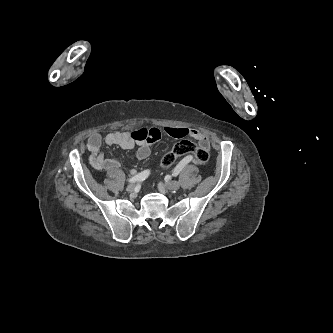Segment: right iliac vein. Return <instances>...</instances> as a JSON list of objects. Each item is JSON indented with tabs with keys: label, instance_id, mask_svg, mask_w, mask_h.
<instances>
[{
	"label": "right iliac vein",
	"instance_id": "right-iliac-vein-1",
	"mask_svg": "<svg viewBox=\"0 0 333 333\" xmlns=\"http://www.w3.org/2000/svg\"><path fill=\"white\" fill-rule=\"evenodd\" d=\"M128 193H134L135 192V185L134 184H129L126 188Z\"/></svg>",
	"mask_w": 333,
	"mask_h": 333
}]
</instances>
